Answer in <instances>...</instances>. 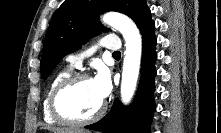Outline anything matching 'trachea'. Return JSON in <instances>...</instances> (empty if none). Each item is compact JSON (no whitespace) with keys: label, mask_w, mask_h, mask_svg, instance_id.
<instances>
[{"label":"trachea","mask_w":221,"mask_h":133,"mask_svg":"<svg viewBox=\"0 0 221 133\" xmlns=\"http://www.w3.org/2000/svg\"><path fill=\"white\" fill-rule=\"evenodd\" d=\"M120 55H121V53L119 51H116L113 53V56H120Z\"/></svg>","instance_id":"trachea-1"}]
</instances>
